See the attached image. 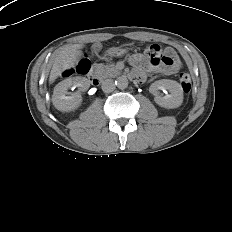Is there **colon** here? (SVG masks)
Segmentation results:
<instances>
[{
	"label": "colon",
	"instance_id": "1",
	"mask_svg": "<svg viewBox=\"0 0 232 232\" xmlns=\"http://www.w3.org/2000/svg\"><path fill=\"white\" fill-rule=\"evenodd\" d=\"M145 55L153 65H157V66L159 65L168 68H175L176 66L175 57L172 54H170L167 50L162 49L158 45H152L151 47H149L146 50ZM89 67H90V61L88 57L85 56L81 60H79L75 69H67L64 72V75L69 76L74 72L84 75L87 73ZM180 84L182 90L185 93H189L191 91L192 82L190 76L187 73L180 74Z\"/></svg>",
	"mask_w": 232,
	"mask_h": 232
}]
</instances>
